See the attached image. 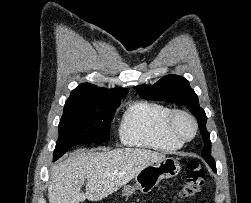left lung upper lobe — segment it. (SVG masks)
Segmentation results:
<instances>
[{
    "label": "left lung upper lobe",
    "instance_id": "1",
    "mask_svg": "<svg viewBox=\"0 0 251 203\" xmlns=\"http://www.w3.org/2000/svg\"><path fill=\"white\" fill-rule=\"evenodd\" d=\"M135 89L139 95L146 99L185 105L195 115L199 123V129L205 143L202 157L212 169L216 170L214 159L211 156L210 134L206 130L207 117L205 111L199 106L198 97L189 82L182 76L172 74L164 76L152 86L141 85Z\"/></svg>",
    "mask_w": 251,
    "mask_h": 203
}]
</instances>
